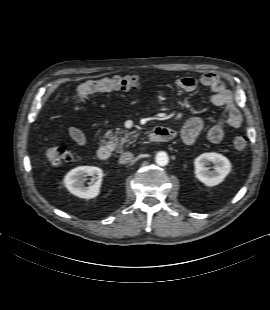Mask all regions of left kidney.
Instances as JSON below:
<instances>
[{"label":"left kidney","mask_w":270,"mask_h":310,"mask_svg":"<svg viewBox=\"0 0 270 310\" xmlns=\"http://www.w3.org/2000/svg\"><path fill=\"white\" fill-rule=\"evenodd\" d=\"M214 164V170H209L207 165ZM195 176L206 186H216L224 181L231 171L230 161L219 153H203L194 160Z\"/></svg>","instance_id":"1"}]
</instances>
